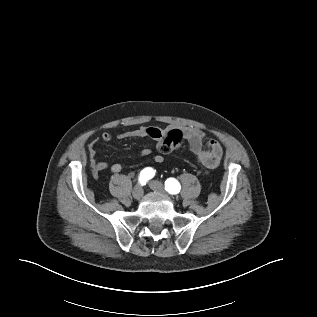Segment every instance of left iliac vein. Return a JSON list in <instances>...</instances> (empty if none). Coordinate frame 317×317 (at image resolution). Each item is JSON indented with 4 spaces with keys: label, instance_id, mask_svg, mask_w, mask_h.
Masks as SVG:
<instances>
[{
    "label": "left iliac vein",
    "instance_id": "left-iliac-vein-1",
    "mask_svg": "<svg viewBox=\"0 0 317 317\" xmlns=\"http://www.w3.org/2000/svg\"><path fill=\"white\" fill-rule=\"evenodd\" d=\"M149 187L152 190L157 191V192H161V193L165 192L163 184L159 181H156V180L149 182Z\"/></svg>",
    "mask_w": 317,
    "mask_h": 317
}]
</instances>
